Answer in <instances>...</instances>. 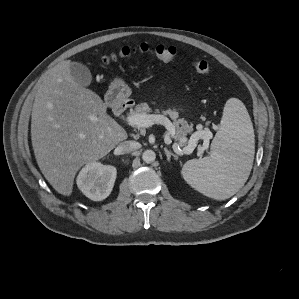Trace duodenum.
Returning <instances> with one entry per match:
<instances>
[{
  "instance_id": "duodenum-1",
  "label": "duodenum",
  "mask_w": 299,
  "mask_h": 299,
  "mask_svg": "<svg viewBox=\"0 0 299 299\" xmlns=\"http://www.w3.org/2000/svg\"><path fill=\"white\" fill-rule=\"evenodd\" d=\"M130 107L128 100H120L113 104V109L116 114H121Z\"/></svg>"
}]
</instances>
